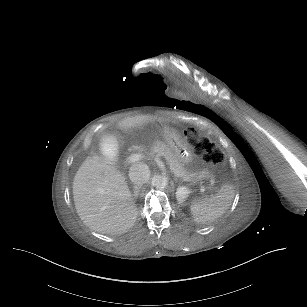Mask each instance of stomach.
<instances>
[{
	"label": "stomach",
	"mask_w": 307,
	"mask_h": 307,
	"mask_svg": "<svg viewBox=\"0 0 307 307\" xmlns=\"http://www.w3.org/2000/svg\"><path fill=\"white\" fill-rule=\"evenodd\" d=\"M163 134L175 157L183 166L187 167L186 171L189 174H193L191 167L193 150L189 146L186 138L179 131L169 127L163 128Z\"/></svg>",
	"instance_id": "obj_1"
}]
</instances>
